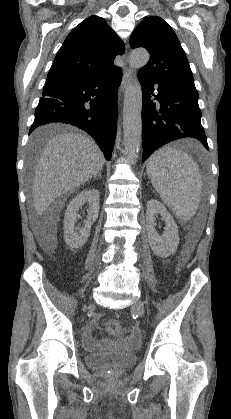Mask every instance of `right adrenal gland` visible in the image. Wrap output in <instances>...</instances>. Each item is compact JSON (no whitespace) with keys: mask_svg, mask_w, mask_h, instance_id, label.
<instances>
[{"mask_svg":"<svg viewBox=\"0 0 231 419\" xmlns=\"http://www.w3.org/2000/svg\"><path fill=\"white\" fill-rule=\"evenodd\" d=\"M102 178L101 172H99L96 176H94V179Z\"/></svg>","mask_w":231,"mask_h":419,"instance_id":"2a0ac1e0","label":"right adrenal gland"}]
</instances>
